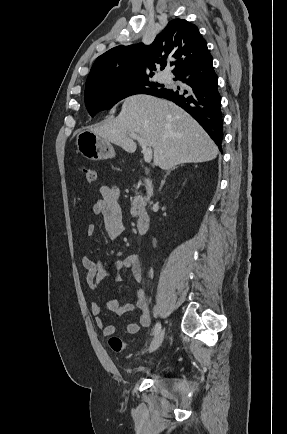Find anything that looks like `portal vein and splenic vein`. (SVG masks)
Returning a JSON list of instances; mask_svg holds the SVG:
<instances>
[{
	"label": "portal vein and splenic vein",
	"mask_w": 287,
	"mask_h": 434,
	"mask_svg": "<svg viewBox=\"0 0 287 434\" xmlns=\"http://www.w3.org/2000/svg\"><path fill=\"white\" fill-rule=\"evenodd\" d=\"M129 136L132 139H136L139 142V144L142 147L144 161L146 163H150L152 160V154H153L151 147H147L145 140L142 137H140L139 135H137L135 133H130Z\"/></svg>",
	"instance_id": "obj_1"
}]
</instances>
